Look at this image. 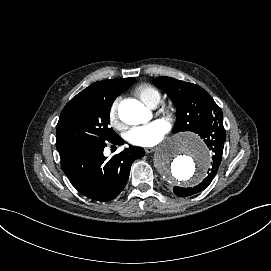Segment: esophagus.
Listing matches in <instances>:
<instances>
[{
  "instance_id": "34e87169",
  "label": "esophagus",
  "mask_w": 271,
  "mask_h": 271,
  "mask_svg": "<svg viewBox=\"0 0 271 271\" xmlns=\"http://www.w3.org/2000/svg\"><path fill=\"white\" fill-rule=\"evenodd\" d=\"M155 150H156V147H147V148H145V152H146L147 154L152 153V152H154Z\"/></svg>"
}]
</instances>
